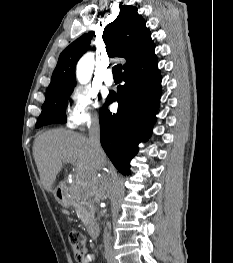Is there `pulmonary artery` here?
Returning <instances> with one entry per match:
<instances>
[{"mask_svg":"<svg viewBox=\"0 0 233 263\" xmlns=\"http://www.w3.org/2000/svg\"><path fill=\"white\" fill-rule=\"evenodd\" d=\"M103 81L107 86H111L114 83V79L112 76V71L110 69H107L105 71L104 77H103Z\"/></svg>","mask_w":233,"mask_h":263,"instance_id":"obj_1","label":"pulmonary artery"}]
</instances>
